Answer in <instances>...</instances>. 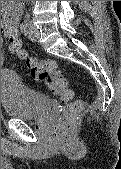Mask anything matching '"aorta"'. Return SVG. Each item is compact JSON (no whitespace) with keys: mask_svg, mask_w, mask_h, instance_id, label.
<instances>
[{"mask_svg":"<svg viewBox=\"0 0 121 169\" xmlns=\"http://www.w3.org/2000/svg\"><path fill=\"white\" fill-rule=\"evenodd\" d=\"M19 5L20 1H7V3L5 2L4 7L9 11H14L19 7Z\"/></svg>","mask_w":121,"mask_h":169,"instance_id":"aorta-1","label":"aorta"}]
</instances>
